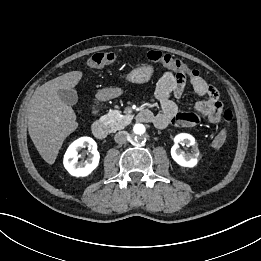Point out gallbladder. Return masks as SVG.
I'll return each mask as SVG.
<instances>
[{
    "label": "gallbladder",
    "mask_w": 261,
    "mask_h": 261,
    "mask_svg": "<svg viewBox=\"0 0 261 261\" xmlns=\"http://www.w3.org/2000/svg\"><path fill=\"white\" fill-rule=\"evenodd\" d=\"M57 94H58L59 98L61 99V101L66 105L72 106L77 103L78 95H77V92L73 89L58 90Z\"/></svg>",
    "instance_id": "obj_1"
}]
</instances>
